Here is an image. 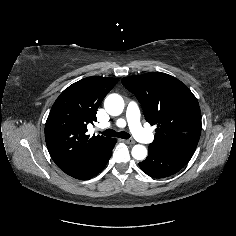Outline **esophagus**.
I'll use <instances>...</instances> for the list:
<instances>
[{
  "mask_svg": "<svg viewBox=\"0 0 236 236\" xmlns=\"http://www.w3.org/2000/svg\"><path fill=\"white\" fill-rule=\"evenodd\" d=\"M124 142H125L126 144H129V145L135 144V141H134L133 139H126V140H124Z\"/></svg>",
  "mask_w": 236,
  "mask_h": 236,
  "instance_id": "obj_1",
  "label": "esophagus"
}]
</instances>
